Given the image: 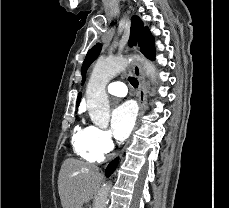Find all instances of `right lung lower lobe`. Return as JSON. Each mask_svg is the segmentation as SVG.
Masks as SVG:
<instances>
[{"label": "right lung lower lobe", "instance_id": "obj_1", "mask_svg": "<svg viewBox=\"0 0 229 208\" xmlns=\"http://www.w3.org/2000/svg\"><path fill=\"white\" fill-rule=\"evenodd\" d=\"M117 163H118V159H115L109 163L108 167L106 168V176L107 177L110 176L114 172V170L117 166Z\"/></svg>", "mask_w": 229, "mask_h": 208}]
</instances>
